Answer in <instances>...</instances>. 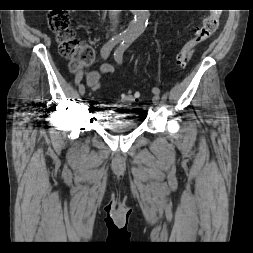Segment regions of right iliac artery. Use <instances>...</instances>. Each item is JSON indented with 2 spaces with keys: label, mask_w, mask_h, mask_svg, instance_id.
Segmentation results:
<instances>
[{
  "label": "right iliac artery",
  "mask_w": 253,
  "mask_h": 253,
  "mask_svg": "<svg viewBox=\"0 0 253 253\" xmlns=\"http://www.w3.org/2000/svg\"><path fill=\"white\" fill-rule=\"evenodd\" d=\"M122 40V37L120 36H116L113 37L112 39H110L109 41H107L102 49H101V56L103 59H107L108 56L110 55L112 49L115 47V45H117L120 41ZM84 77L83 71H80V73H77L76 76L74 77V80L76 81V83H80V81L82 80V78Z\"/></svg>",
  "instance_id": "82829eb1"
}]
</instances>
